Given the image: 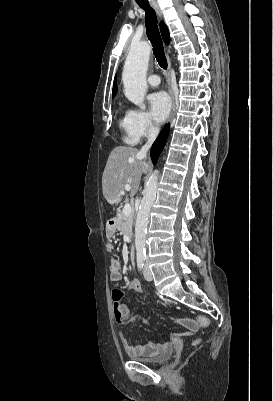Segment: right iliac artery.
Listing matches in <instances>:
<instances>
[{
  "label": "right iliac artery",
  "mask_w": 273,
  "mask_h": 401,
  "mask_svg": "<svg viewBox=\"0 0 273 401\" xmlns=\"http://www.w3.org/2000/svg\"><path fill=\"white\" fill-rule=\"evenodd\" d=\"M137 265L139 270H142L143 265H144V258H137Z\"/></svg>",
  "instance_id": "obj_1"
}]
</instances>
